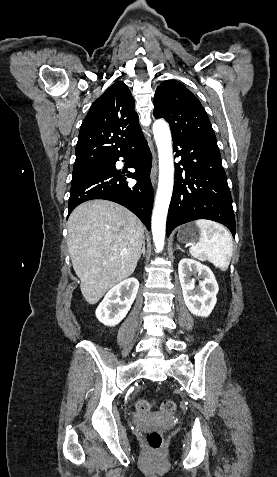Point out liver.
I'll return each instance as SVG.
<instances>
[{"label":"liver","mask_w":277,"mask_h":477,"mask_svg":"<svg viewBox=\"0 0 277 477\" xmlns=\"http://www.w3.org/2000/svg\"><path fill=\"white\" fill-rule=\"evenodd\" d=\"M143 239L142 222L117 203L91 200L75 208L68 220V249L90 305L133 274Z\"/></svg>","instance_id":"1"}]
</instances>
